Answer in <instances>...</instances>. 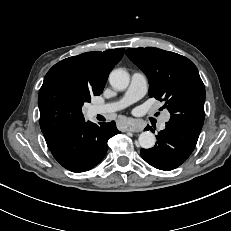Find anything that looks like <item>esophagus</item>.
<instances>
[{
    "label": "esophagus",
    "instance_id": "34e87169",
    "mask_svg": "<svg viewBox=\"0 0 231 231\" xmlns=\"http://www.w3.org/2000/svg\"><path fill=\"white\" fill-rule=\"evenodd\" d=\"M142 129L137 127V126H128L126 128V131H129V132H140Z\"/></svg>",
    "mask_w": 231,
    "mask_h": 231
}]
</instances>
